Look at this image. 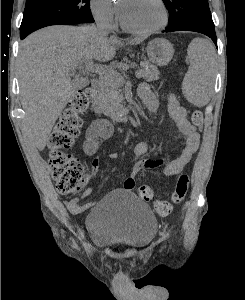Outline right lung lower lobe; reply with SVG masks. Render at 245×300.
<instances>
[{
	"mask_svg": "<svg viewBox=\"0 0 245 300\" xmlns=\"http://www.w3.org/2000/svg\"><path fill=\"white\" fill-rule=\"evenodd\" d=\"M27 35H20V39H24Z\"/></svg>",
	"mask_w": 245,
	"mask_h": 300,
	"instance_id": "98d812e1",
	"label": "right lung lower lobe"
}]
</instances>
